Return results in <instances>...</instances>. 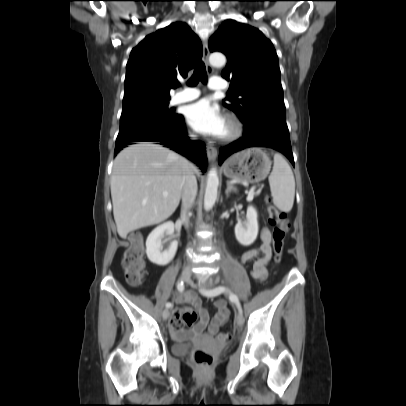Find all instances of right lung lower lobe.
Wrapping results in <instances>:
<instances>
[{"mask_svg":"<svg viewBox=\"0 0 406 406\" xmlns=\"http://www.w3.org/2000/svg\"><path fill=\"white\" fill-rule=\"evenodd\" d=\"M158 142L164 147L170 148L183 155L190 161L198 164L202 170L207 167L206 147L204 143L196 141L191 143L188 139L185 129L184 118L179 115L170 126L146 133L132 134L117 138L115 145V154H118L122 148L133 142ZM204 172V171H203Z\"/></svg>","mask_w":406,"mask_h":406,"instance_id":"1","label":"right lung lower lobe"}]
</instances>
